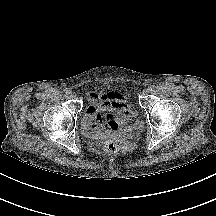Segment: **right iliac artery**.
Masks as SVG:
<instances>
[{
	"label": "right iliac artery",
	"mask_w": 216,
	"mask_h": 216,
	"mask_svg": "<svg viewBox=\"0 0 216 216\" xmlns=\"http://www.w3.org/2000/svg\"><path fill=\"white\" fill-rule=\"evenodd\" d=\"M64 92H65L66 94H70V89L66 88V89L64 90Z\"/></svg>",
	"instance_id": "82829eb1"
}]
</instances>
